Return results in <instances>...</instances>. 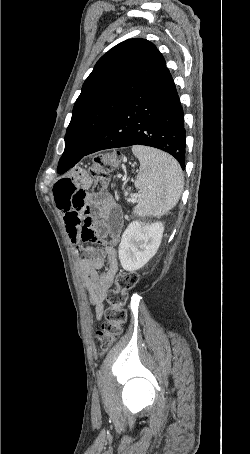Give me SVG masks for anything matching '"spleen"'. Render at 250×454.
I'll return each mask as SVG.
<instances>
[{
    "label": "spleen",
    "instance_id": "1",
    "mask_svg": "<svg viewBox=\"0 0 250 454\" xmlns=\"http://www.w3.org/2000/svg\"><path fill=\"white\" fill-rule=\"evenodd\" d=\"M140 161L135 181L139 189L138 204L133 212L137 216L161 217L178 203L184 177L179 163L170 155L141 145L132 147Z\"/></svg>",
    "mask_w": 250,
    "mask_h": 454
}]
</instances>
